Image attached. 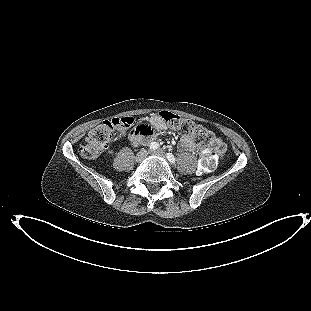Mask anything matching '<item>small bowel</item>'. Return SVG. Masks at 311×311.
<instances>
[{
    "label": "small bowel",
    "mask_w": 311,
    "mask_h": 311,
    "mask_svg": "<svg viewBox=\"0 0 311 311\" xmlns=\"http://www.w3.org/2000/svg\"><path fill=\"white\" fill-rule=\"evenodd\" d=\"M148 121L152 124L155 131H162V130L166 129V124L159 115L150 116L148 118ZM133 138H137V139L134 140ZM141 141H142V138L140 135H134L131 138V142L134 145L140 144ZM179 147L181 150H184V151H195L196 150V145L194 144L192 138L188 135H185L182 137L180 144H179Z\"/></svg>",
    "instance_id": "1"
}]
</instances>
